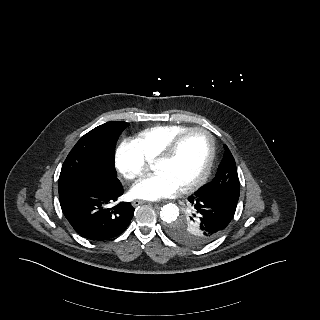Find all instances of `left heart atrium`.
Wrapping results in <instances>:
<instances>
[{"label": "left heart atrium", "mask_w": 320, "mask_h": 320, "mask_svg": "<svg viewBox=\"0 0 320 320\" xmlns=\"http://www.w3.org/2000/svg\"><path fill=\"white\" fill-rule=\"evenodd\" d=\"M179 186L166 174L155 172L137 181L131 188L132 197L143 200H158L175 195Z\"/></svg>", "instance_id": "obj_1"}]
</instances>
